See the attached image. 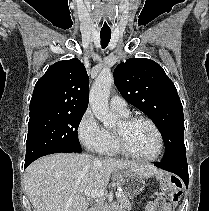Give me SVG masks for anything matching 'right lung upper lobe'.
Segmentation results:
<instances>
[{
  "mask_svg": "<svg viewBox=\"0 0 209 211\" xmlns=\"http://www.w3.org/2000/svg\"><path fill=\"white\" fill-rule=\"evenodd\" d=\"M89 100V77L77 59L51 65L37 81L30 101V115L85 112Z\"/></svg>",
  "mask_w": 209,
  "mask_h": 211,
  "instance_id": "cb5924a9",
  "label": "right lung upper lobe"
}]
</instances>
